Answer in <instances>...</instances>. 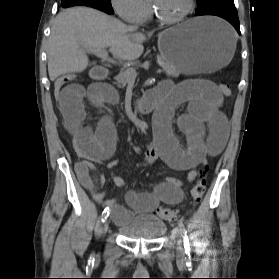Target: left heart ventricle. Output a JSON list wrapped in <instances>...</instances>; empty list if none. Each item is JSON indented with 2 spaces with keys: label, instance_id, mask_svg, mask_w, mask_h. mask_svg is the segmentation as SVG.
I'll return each instance as SVG.
<instances>
[{
  "label": "left heart ventricle",
  "instance_id": "obj_1",
  "mask_svg": "<svg viewBox=\"0 0 279 279\" xmlns=\"http://www.w3.org/2000/svg\"><path fill=\"white\" fill-rule=\"evenodd\" d=\"M149 3L164 18H175L188 7V0H149Z\"/></svg>",
  "mask_w": 279,
  "mask_h": 279
}]
</instances>
